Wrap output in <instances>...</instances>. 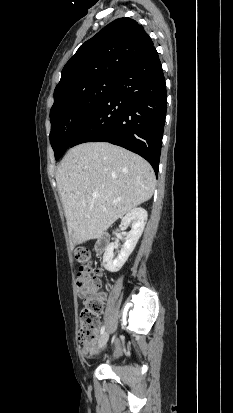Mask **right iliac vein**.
<instances>
[{
    "mask_svg": "<svg viewBox=\"0 0 233 413\" xmlns=\"http://www.w3.org/2000/svg\"><path fill=\"white\" fill-rule=\"evenodd\" d=\"M108 339H109L108 332L103 333L102 336L99 339L98 348L99 349L103 348L106 345Z\"/></svg>",
    "mask_w": 233,
    "mask_h": 413,
    "instance_id": "right-iliac-vein-1",
    "label": "right iliac vein"
}]
</instances>
